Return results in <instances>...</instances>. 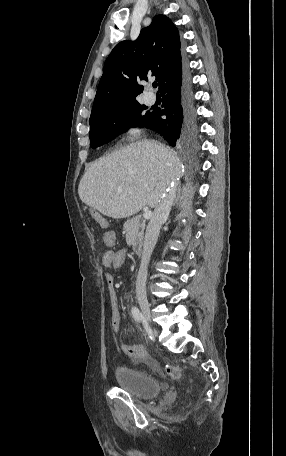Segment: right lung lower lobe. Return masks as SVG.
Segmentation results:
<instances>
[{
    "label": "right lung lower lobe",
    "mask_w": 286,
    "mask_h": 456,
    "mask_svg": "<svg viewBox=\"0 0 286 456\" xmlns=\"http://www.w3.org/2000/svg\"><path fill=\"white\" fill-rule=\"evenodd\" d=\"M164 109H155L147 128L161 134L171 146L185 141L196 129L192 87L187 74L161 92ZM165 115L166 119L162 116Z\"/></svg>",
    "instance_id": "right-lung-lower-lobe-1"
}]
</instances>
